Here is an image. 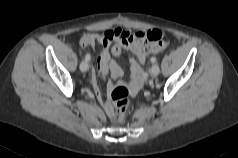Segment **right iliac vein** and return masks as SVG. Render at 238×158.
<instances>
[{"label":"right iliac vein","instance_id":"obj_1","mask_svg":"<svg viewBox=\"0 0 238 158\" xmlns=\"http://www.w3.org/2000/svg\"><path fill=\"white\" fill-rule=\"evenodd\" d=\"M89 69V64L86 60H83L80 64V70L86 72Z\"/></svg>","mask_w":238,"mask_h":158}]
</instances>
